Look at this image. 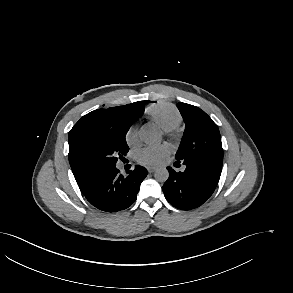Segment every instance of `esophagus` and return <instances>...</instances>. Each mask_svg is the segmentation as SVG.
<instances>
[{"label":"esophagus","instance_id":"obj_1","mask_svg":"<svg viewBox=\"0 0 293 293\" xmlns=\"http://www.w3.org/2000/svg\"><path fill=\"white\" fill-rule=\"evenodd\" d=\"M147 170H148L149 173H153V172H155L157 170V168L149 166V167H147Z\"/></svg>","mask_w":293,"mask_h":293}]
</instances>
